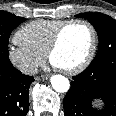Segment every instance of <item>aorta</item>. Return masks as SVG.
I'll return each mask as SVG.
<instances>
[{"instance_id": "aorta-1", "label": "aorta", "mask_w": 116, "mask_h": 116, "mask_svg": "<svg viewBox=\"0 0 116 116\" xmlns=\"http://www.w3.org/2000/svg\"><path fill=\"white\" fill-rule=\"evenodd\" d=\"M53 89L57 92L64 93L69 90L70 82L62 75H53L50 79Z\"/></svg>"}]
</instances>
